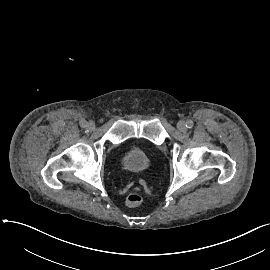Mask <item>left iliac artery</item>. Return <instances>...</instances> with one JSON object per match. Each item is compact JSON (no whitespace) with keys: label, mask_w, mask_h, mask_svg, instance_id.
<instances>
[{"label":"left iliac artery","mask_w":270,"mask_h":270,"mask_svg":"<svg viewBox=\"0 0 270 270\" xmlns=\"http://www.w3.org/2000/svg\"><path fill=\"white\" fill-rule=\"evenodd\" d=\"M193 125H194V123H193L192 120H188V121L186 122V127H187V128H192Z\"/></svg>","instance_id":"obj_1"}]
</instances>
